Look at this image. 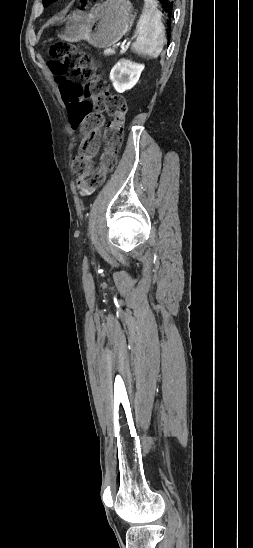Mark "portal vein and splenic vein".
Listing matches in <instances>:
<instances>
[{
    "label": "portal vein and splenic vein",
    "mask_w": 253,
    "mask_h": 548,
    "mask_svg": "<svg viewBox=\"0 0 253 548\" xmlns=\"http://www.w3.org/2000/svg\"><path fill=\"white\" fill-rule=\"evenodd\" d=\"M133 38H135V36H134ZM133 38H132V39H133ZM127 45H128V44H127ZM127 45H126V44H123V45L121 46V50H120L121 53H123V52L126 50Z\"/></svg>",
    "instance_id": "18ae733b"
}]
</instances>
